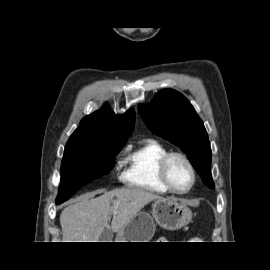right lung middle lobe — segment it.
<instances>
[{
	"instance_id": "obj_1",
	"label": "right lung middle lobe",
	"mask_w": 270,
	"mask_h": 270,
	"mask_svg": "<svg viewBox=\"0 0 270 270\" xmlns=\"http://www.w3.org/2000/svg\"><path fill=\"white\" fill-rule=\"evenodd\" d=\"M124 143L99 145L67 143L56 203H63L83 185L110 171L114 167V158Z\"/></svg>"
}]
</instances>
